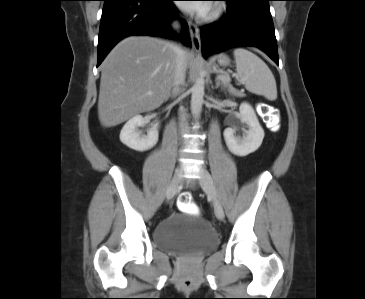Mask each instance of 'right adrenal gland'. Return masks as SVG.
Here are the masks:
<instances>
[{"label":"right adrenal gland","mask_w":365,"mask_h":299,"mask_svg":"<svg viewBox=\"0 0 365 299\" xmlns=\"http://www.w3.org/2000/svg\"><path fill=\"white\" fill-rule=\"evenodd\" d=\"M175 95H176V93L175 92H172V94H170L169 97H173Z\"/></svg>","instance_id":"right-adrenal-gland-1"}]
</instances>
